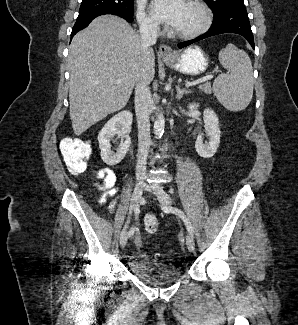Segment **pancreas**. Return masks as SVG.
Masks as SVG:
<instances>
[{
  "instance_id": "cf45deb5",
  "label": "pancreas",
  "mask_w": 298,
  "mask_h": 325,
  "mask_svg": "<svg viewBox=\"0 0 298 325\" xmlns=\"http://www.w3.org/2000/svg\"><path fill=\"white\" fill-rule=\"evenodd\" d=\"M197 88H199L201 92H205V94H212L211 82H202V84H198Z\"/></svg>"
}]
</instances>
